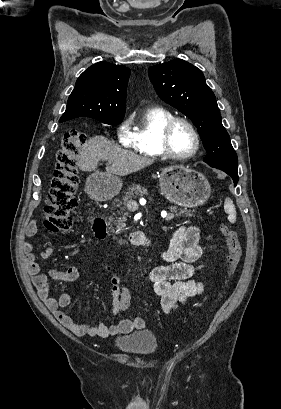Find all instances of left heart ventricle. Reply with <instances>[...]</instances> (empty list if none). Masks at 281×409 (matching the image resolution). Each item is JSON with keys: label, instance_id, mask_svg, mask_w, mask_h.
<instances>
[{"label": "left heart ventricle", "instance_id": "obj_1", "mask_svg": "<svg viewBox=\"0 0 281 409\" xmlns=\"http://www.w3.org/2000/svg\"><path fill=\"white\" fill-rule=\"evenodd\" d=\"M171 147L176 154L186 155L194 150V137L190 130L183 124H179L173 130Z\"/></svg>", "mask_w": 281, "mask_h": 409}]
</instances>
